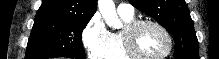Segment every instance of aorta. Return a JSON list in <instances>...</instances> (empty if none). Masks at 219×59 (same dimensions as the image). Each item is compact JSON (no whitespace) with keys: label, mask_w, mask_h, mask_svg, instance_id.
Listing matches in <instances>:
<instances>
[{"label":"aorta","mask_w":219,"mask_h":59,"mask_svg":"<svg viewBox=\"0 0 219 59\" xmlns=\"http://www.w3.org/2000/svg\"><path fill=\"white\" fill-rule=\"evenodd\" d=\"M98 8L108 26L114 28H119L121 26L113 0H98Z\"/></svg>","instance_id":"obj_1"}]
</instances>
